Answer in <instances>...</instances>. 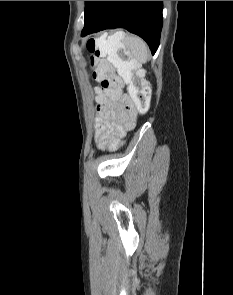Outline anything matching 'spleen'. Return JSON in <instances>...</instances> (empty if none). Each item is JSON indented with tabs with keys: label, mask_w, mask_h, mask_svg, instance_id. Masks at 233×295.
I'll list each match as a JSON object with an SVG mask.
<instances>
[{
	"label": "spleen",
	"mask_w": 233,
	"mask_h": 295,
	"mask_svg": "<svg viewBox=\"0 0 233 295\" xmlns=\"http://www.w3.org/2000/svg\"><path fill=\"white\" fill-rule=\"evenodd\" d=\"M99 47L103 56L107 55L108 60L121 70L124 62L117 52L121 48H127L139 62H146L148 50L146 43L138 36H126L122 31H118L109 36L107 40H99Z\"/></svg>",
	"instance_id": "spleen-1"
}]
</instances>
